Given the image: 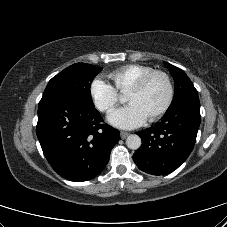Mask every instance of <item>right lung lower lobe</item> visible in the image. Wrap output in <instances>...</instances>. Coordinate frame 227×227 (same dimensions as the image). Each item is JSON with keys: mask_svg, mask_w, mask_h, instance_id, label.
Instances as JSON below:
<instances>
[{"mask_svg": "<svg viewBox=\"0 0 227 227\" xmlns=\"http://www.w3.org/2000/svg\"><path fill=\"white\" fill-rule=\"evenodd\" d=\"M102 121L94 106L73 96L41 99L36 133L47 161L60 176L82 182L101 173L120 139L119 131Z\"/></svg>", "mask_w": 227, "mask_h": 227, "instance_id": "1", "label": "right lung lower lobe"}]
</instances>
